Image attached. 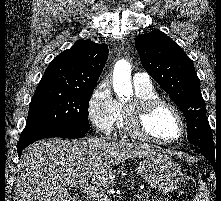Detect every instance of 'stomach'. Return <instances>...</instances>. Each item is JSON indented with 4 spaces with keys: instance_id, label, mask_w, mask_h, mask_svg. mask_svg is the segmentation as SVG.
<instances>
[{
    "instance_id": "stomach-1",
    "label": "stomach",
    "mask_w": 221,
    "mask_h": 201,
    "mask_svg": "<svg viewBox=\"0 0 221 201\" xmlns=\"http://www.w3.org/2000/svg\"><path fill=\"white\" fill-rule=\"evenodd\" d=\"M137 171L153 188L163 193L175 190L182 182L179 165L160 150L146 155L139 162Z\"/></svg>"
}]
</instances>
